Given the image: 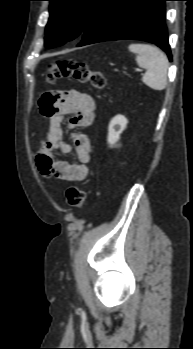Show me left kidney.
I'll use <instances>...</instances> for the list:
<instances>
[{
	"label": "left kidney",
	"mask_w": 193,
	"mask_h": 349,
	"mask_svg": "<svg viewBox=\"0 0 193 349\" xmlns=\"http://www.w3.org/2000/svg\"><path fill=\"white\" fill-rule=\"evenodd\" d=\"M128 120L123 115H116L109 123L108 127V143L110 146L116 144L120 138V134L126 128Z\"/></svg>",
	"instance_id": "5707ae66"
}]
</instances>
